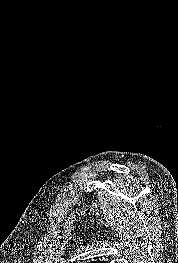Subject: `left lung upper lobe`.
Returning <instances> with one entry per match:
<instances>
[{"label":"left lung upper lobe","instance_id":"obj_1","mask_svg":"<svg viewBox=\"0 0 178 263\" xmlns=\"http://www.w3.org/2000/svg\"><path fill=\"white\" fill-rule=\"evenodd\" d=\"M91 263H103V262H101V261H92Z\"/></svg>","mask_w":178,"mask_h":263}]
</instances>
